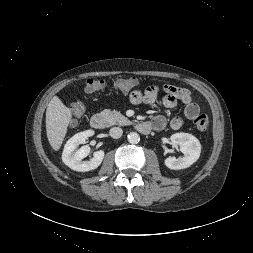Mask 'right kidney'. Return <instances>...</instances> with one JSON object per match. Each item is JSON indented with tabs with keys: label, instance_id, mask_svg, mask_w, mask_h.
Returning a JSON list of instances; mask_svg holds the SVG:
<instances>
[{
	"label": "right kidney",
	"instance_id": "ca27d5eb",
	"mask_svg": "<svg viewBox=\"0 0 253 253\" xmlns=\"http://www.w3.org/2000/svg\"><path fill=\"white\" fill-rule=\"evenodd\" d=\"M92 135H94V131L87 130L75 134L66 142L62 153V161L65 165L74 171L87 172L96 169L102 163L105 155L104 151H96L90 161H82L90 153V147L85 145L76 150L78 145L83 144Z\"/></svg>",
	"mask_w": 253,
	"mask_h": 253
}]
</instances>
